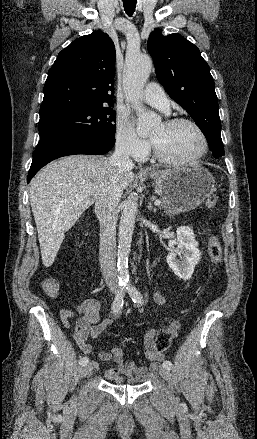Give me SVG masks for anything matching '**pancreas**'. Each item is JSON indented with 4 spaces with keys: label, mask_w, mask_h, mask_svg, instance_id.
Wrapping results in <instances>:
<instances>
[{
    "label": "pancreas",
    "mask_w": 257,
    "mask_h": 439,
    "mask_svg": "<svg viewBox=\"0 0 257 439\" xmlns=\"http://www.w3.org/2000/svg\"><path fill=\"white\" fill-rule=\"evenodd\" d=\"M159 208L160 210H163L167 215L170 216L180 213V211L174 205L163 199H162V205H160Z\"/></svg>",
    "instance_id": "1"
}]
</instances>
